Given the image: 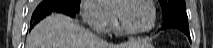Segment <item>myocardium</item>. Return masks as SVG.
I'll use <instances>...</instances> for the list:
<instances>
[{
    "mask_svg": "<svg viewBox=\"0 0 213 48\" xmlns=\"http://www.w3.org/2000/svg\"><path fill=\"white\" fill-rule=\"evenodd\" d=\"M123 1L125 3L141 2V3L146 4L151 11V21H150V24L148 25V27L141 29V30H134V29L127 27L123 23L120 15L117 12H115L116 18H117V25H118V27H119V29L121 30L122 33L132 35V36H138V35L148 33V32H150L151 30L154 29V27L156 25L157 15H156V8H155L154 4L152 3V1H150V0H123Z\"/></svg>",
    "mask_w": 213,
    "mask_h": 48,
    "instance_id": "myocardium-1",
    "label": "myocardium"
}]
</instances>
